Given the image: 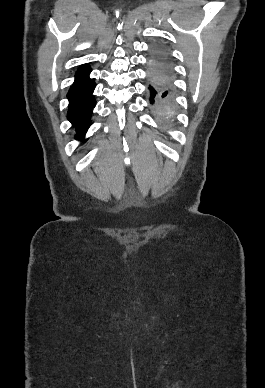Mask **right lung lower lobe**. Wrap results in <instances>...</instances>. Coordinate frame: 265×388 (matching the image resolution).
I'll use <instances>...</instances> for the list:
<instances>
[{
    "instance_id": "98d812e1",
    "label": "right lung lower lobe",
    "mask_w": 265,
    "mask_h": 388,
    "mask_svg": "<svg viewBox=\"0 0 265 388\" xmlns=\"http://www.w3.org/2000/svg\"><path fill=\"white\" fill-rule=\"evenodd\" d=\"M95 86L94 81L88 76L76 78L67 94L69 100L67 118L76 127L79 139L90 124L92 108L95 107V99L92 96Z\"/></svg>"
}]
</instances>
